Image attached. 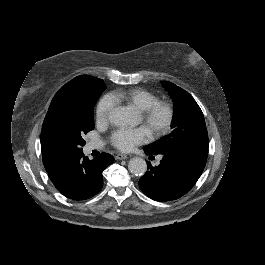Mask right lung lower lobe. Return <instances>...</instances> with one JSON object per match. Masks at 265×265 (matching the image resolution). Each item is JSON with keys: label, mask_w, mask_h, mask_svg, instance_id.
Returning <instances> with one entry per match:
<instances>
[{"label": "right lung lower lobe", "mask_w": 265, "mask_h": 265, "mask_svg": "<svg viewBox=\"0 0 265 265\" xmlns=\"http://www.w3.org/2000/svg\"><path fill=\"white\" fill-rule=\"evenodd\" d=\"M114 162V157L102 153L89 160L83 153L46 170L61 194L73 200H85L97 194L103 186L102 172Z\"/></svg>", "instance_id": "1"}]
</instances>
